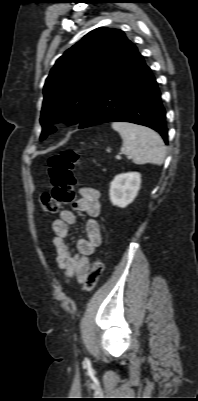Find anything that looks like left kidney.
<instances>
[{"mask_svg":"<svg viewBox=\"0 0 198 401\" xmlns=\"http://www.w3.org/2000/svg\"><path fill=\"white\" fill-rule=\"evenodd\" d=\"M141 185V174L138 172L122 173L110 183V200L113 205L125 208L136 198Z\"/></svg>","mask_w":198,"mask_h":401,"instance_id":"left-kidney-1","label":"left kidney"}]
</instances>
